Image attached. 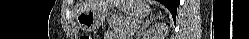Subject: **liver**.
Masks as SVG:
<instances>
[{
    "mask_svg": "<svg viewBox=\"0 0 249 39\" xmlns=\"http://www.w3.org/2000/svg\"><path fill=\"white\" fill-rule=\"evenodd\" d=\"M122 2L123 0H86L80 7L79 13L97 7L111 8L113 6H119Z\"/></svg>",
    "mask_w": 249,
    "mask_h": 39,
    "instance_id": "6515ba94",
    "label": "liver"
}]
</instances>
